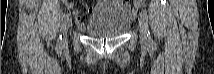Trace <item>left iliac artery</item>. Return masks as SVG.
Returning <instances> with one entry per match:
<instances>
[{"instance_id":"left-iliac-artery-1","label":"left iliac artery","mask_w":214,"mask_h":74,"mask_svg":"<svg viewBox=\"0 0 214 74\" xmlns=\"http://www.w3.org/2000/svg\"><path fill=\"white\" fill-rule=\"evenodd\" d=\"M140 15H142L145 18V20L148 19L147 11L145 9H142ZM148 34H149V31H148ZM149 39H150V37H149ZM151 41H152V44H154L153 40H151Z\"/></svg>"}]
</instances>
